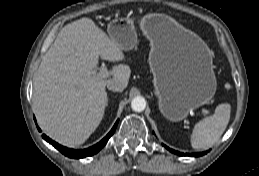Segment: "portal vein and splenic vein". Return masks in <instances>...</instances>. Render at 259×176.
<instances>
[{"mask_svg": "<svg viewBox=\"0 0 259 176\" xmlns=\"http://www.w3.org/2000/svg\"><path fill=\"white\" fill-rule=\"evenodd\" d=\"M99 75L102 77V78H107L109 77V75L111 74V72L107 69V67L102 64L101 67L99 68ZM204 114H208V111L207 110H203L202 111Z\"/></svg>", "mask_w": 259, "mask_h": 176, "instance_id": "obj_1", "label": "portal vein and splenic vein"}]
</instances>
